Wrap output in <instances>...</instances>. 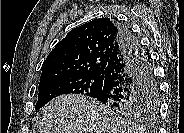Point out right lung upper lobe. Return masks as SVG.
I'll list each match as a JSON object with an SVG mask.
<instances>
[{
    "instance_id": "right-lung-upper-lobe-1",
    "label": "right lung upper lobe",
    "mask_w": 184,
    "mask_h": 133,
    "mask_svg": "<svg viewBox=\"0 0 184 133\" xmlns=\"http://www.w3.org/2000/svg\"><path fill=\"white\" fill-rule=\"evenodd\" d=\"M120 30L109 18L92 20L71 30L42 65L39 87L55 79L104 73L118 48Z\"/></svg>"
}]
</instances>
